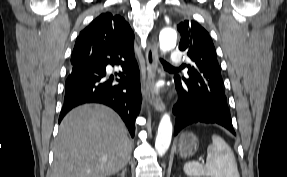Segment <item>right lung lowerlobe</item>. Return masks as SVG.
Here are the masks:
<instances>
[{
	"instance_id": "obj_1",
	"label": "right lung lower lobe",
	"mask_w": 287,
	"mask_h": 177,
	"mask_svg": "<svg viewBox=\"0 0 287 177\" xmlns=\"http://www.w3.org/2000/svg\"><path fill=\"white\" fill-rule=\"evenodd\" d=\"M108 64L121 65L123 72L119 73L121 79H117L118 83L106 75ZM85 103H101L113 108L125 122L131 136H134L141 95L133 48L122 44L93 48L88 58L72 65L65 83L59 122L72 108Z\"/></svg>"
}]
</instances>
